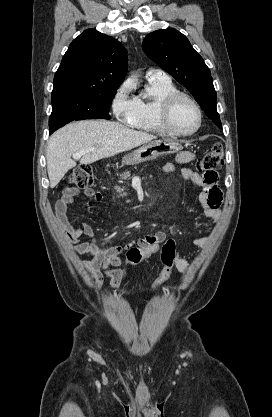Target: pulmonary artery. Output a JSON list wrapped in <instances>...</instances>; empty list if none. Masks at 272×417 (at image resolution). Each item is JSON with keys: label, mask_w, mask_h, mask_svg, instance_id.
Segmentation results:
<instances>
[{"label": "pulmonary artery", "mask_w": 272, "mask_h": 417, "mask_svg": "<svg viewBox=\"0 0 272 417\" xmlns=\"http://www.w3.org/2000/svg\"><path fill=\"white\" fill-rule=\"evenodd\" d=\"M147 78L155 80H166L169 79L168 75L160 69H150L147 71Z\"/></svg>", "instance_id": "obj_1"}]
</instances>
